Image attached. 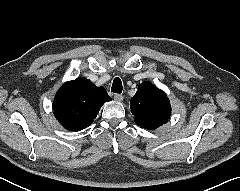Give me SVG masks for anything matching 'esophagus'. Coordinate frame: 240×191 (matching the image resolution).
I'll list each match as a JSON object with an SVG mask.
<instances>
[{
    "instance_id": "34e87169",
    "label": "esophagus",
    "mask_w": 240,
    "mask_h": 191,
    "mask_svg": "<svg viewBox=\"0 0 240 191\" xmlns=\"http://www.w3.org/2000/svg\"><path fill=\"white\" fill-rule=\"evenodd\" d=\"M114 100L117 102H121L123 100V96L121 94H115Z\"/></svg>"
}]
</instances>
